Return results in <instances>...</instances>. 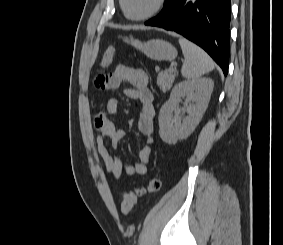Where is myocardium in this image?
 Returning <instances> with one entry per match:
<instances>
[{
    "label": "myocardium",
    "mask_w": 283,
    "mask_h": 245,
    "mask_svg": "<svg viewBox=\"0 0 283 245\" xmlns=\"http://www.w3.org/2000/svg\"><path fill=\"white\" fill-rule=\"evenodd\" d=\"M120 1V7L124 14V16L130 20V21H145L148 20L155 15H157L165 6L166 0H157L155 7L149 11L148 13L142 15V16H131L127 13V10L125 8V0H119Z\"/></svg>",
    "instance_id": "obj_1"
}]
</instances>
